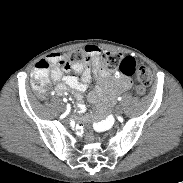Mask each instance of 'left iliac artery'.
Segmentation results:
<instances>
[{
  "label": "left iliac artery",
  "instance_id": "44dca946",
  "mask_svg": "<svg viewBox=\"0 0 183 183\" xmlns=\"http://www.w3.org/2000/svg\"><path fill=\"white\" fill-rule=\"evenodd\" d=\"M122 100V97H118V101H121Z\"/></svg>",
  "mask_w": 183,
  "mask_h": 183
}]
</instances>
